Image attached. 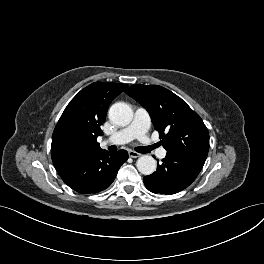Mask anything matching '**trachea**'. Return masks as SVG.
<instances>
[{
    "label": "trachea",
    "instance_id": "1",
    "mask_svg": "<svg viewBox=\"0 0 264 264\" xmlns=\"http://www.w3.org/2000/svg\"><path fill=\"white\" fill-rule=\"evenodd\" d=\"M153 148H155V145L152 147H137L136 151L139 153H149Z\"/></svg>",
    "mask_w": 264,
    "mask_h": 264
}]
</instances>
